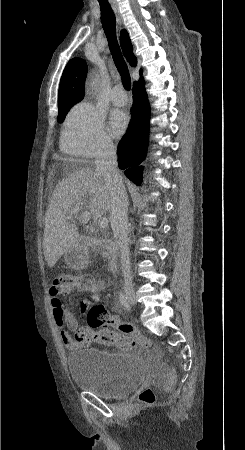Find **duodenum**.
Returning a JSON list of instances; mask_svg holds the SVG:
<instances>
[{"label":"duodenum","mask_w":245,"mask_h":450,"mask_svg":"<svg viewBox=\"0 0 245 450\" xmlns=\"http://www.w3.org/2000/svg\"><path fill=\"white\" fill-rule=\"evenodd\" d=\"M107 236L105 238H92L81 236L78 238L76 247L80 252V261H85V254L96 246L108 248L110 252V259L108 267L111 271L117 272L119 270V253L118 246L115 239L111 236V231L104 232Z\"/></svg>","instance_id":"1"}]
</instances>
